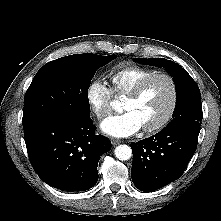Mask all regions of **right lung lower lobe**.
<instances>
[{"mask_svg":"<svg viewBox=\"0 0 221 221\" xmlns=\"http://www.w3.org/2000/svg\"><path fill=\"white\" fill-rule=\"evenodd\" d=\"M31 164L48 185L67 192L84 191L98 180V161L111 141L95 135L92 119L67 116L44 119L24 130Z\"/></svg>","mask_w":221,"mask_h":221,"instance_id":"98d812e1","label":"right lung lower lobe"}]
</instances>
